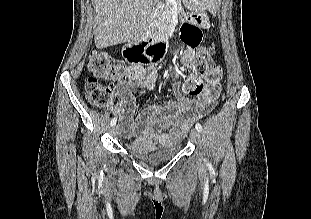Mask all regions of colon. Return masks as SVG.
I'll return each mask as SVG.
<instances>
[{"instance_id":"1","label":"colon","mask_w":311,"mask_h":219,"mask_svg":"<svg viewBox=\"0 0 311 219\" xmlns=\"http://www.w3.org/2000/svg\"><path fill=\"white\" fill-rule=\"evenodd\" d=\"M183 41L192 45H198L200 41V30L191 25H184L182 28ZM165 48L158 50L157 53L147 56V59L141 57L137 62H153L160 58ZM87 66L91 72L85 83V95L88 101L99 108L108 106L117 100V93L112 85L100 83L99 79L105 80H124L127 77V69L120 61L112 59L106 52L95 49L87 60ZM188 68L196 75H205L215 70L213 63L212 48L206 47L198 51L194 59L187 64ZM202 81L193 77L186 83V91L190 94H198L202 90Z\"/></svg>"}]
</instances>
